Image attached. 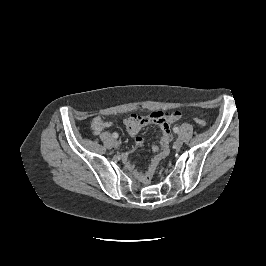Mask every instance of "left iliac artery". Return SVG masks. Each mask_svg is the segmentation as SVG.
<instances>
[{
    "label": "left iliac artery",
    "instance_id": "left-iliac-artery-1",
    "mask_svg": "<svg viewBox=\"0 0 266 266\" xmlns=\"http://www.w3.org/2000/svg\"><path fill=\"white\" fill-rule=\"evenodd\" d=\"M173 131H174L175 133H178V132H179L178 127H174V128H173Z\"/></svg>",
    "mask_w": 266,
    "mask_h": 266
}]
</instances>
